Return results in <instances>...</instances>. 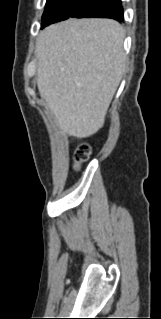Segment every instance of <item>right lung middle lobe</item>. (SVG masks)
Returning <instances> with one entry per match:
<instances>
[{"label": "right lung middle lobe", "instance_id": "dd1d6c3e", "mask_svg": "<svg viewBox=\"0 0 161 319\" xmlns=\"http://www.w3.org/2000/svg\"><path fill=\"white\" fill-rule=\"evenodd\" d=\"M99 0H47L42 16V29L52 23L72 18H82Z\"/></svg>", "mask_w": 161, "mask_h": 319}]
</instances>
